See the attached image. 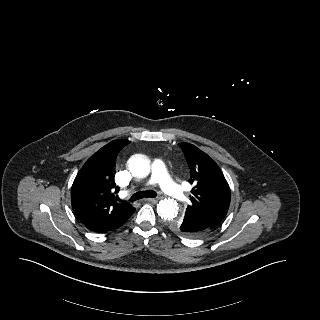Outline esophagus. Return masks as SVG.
<instances>
[{
    "instance_id": "1",
    "label": "esophagus",
    "mask_w": 320,
    "mask_h": 320,
    "mask_svg": "<svg viewBox=\"0 0 320 320\" xmlns=\"http://www.w3.org/2000/svg\"><path fill=\"white\" fill-rule=\"evenodd\" d=\"M145 201L150 203H156L157 201H159V198H146Z\"/></svg>"
}]
</instances>
